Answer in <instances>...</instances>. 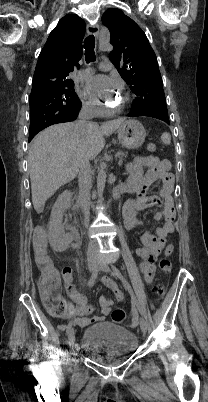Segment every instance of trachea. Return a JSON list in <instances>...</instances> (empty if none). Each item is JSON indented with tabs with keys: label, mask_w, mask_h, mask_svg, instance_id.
Returning a JSON list of instances; mask_svg holds the SVG:
<instances>
[{
	"label": "trachea",
	"mask_w": 208,
	"mask_h": 402,
	"mask_svg": "<svg viewBox=\"0 0 208 402\" xmlns=\"http://www.w3.org/2000/svg\"><path fill=\"white\" fill-rule=\"evenodd\" d=\"M84 48H85V60L87 63L94 62L96 60L95 56V37L94 35H89L84 40Z\"/></svg>",
	"instance_id": "obj_1"
}]
</instances>
